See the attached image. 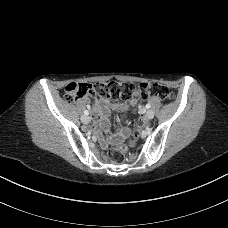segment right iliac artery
<instances>
[{"label":"right iliac artery","instance_id":"82829eb1","mask_svg":"<svg viewBox=\"0 0 228 228\" xmlns=\"http://www.w3.org/2000/svg\"><path fill=\"white\" fill-rule=\"evenodd\" d=\"M84 114H85V115H88V114H89L88 110H85V111H84Z\"/></svg>","mask_w":228,"mask_h":228}]
</instances>
